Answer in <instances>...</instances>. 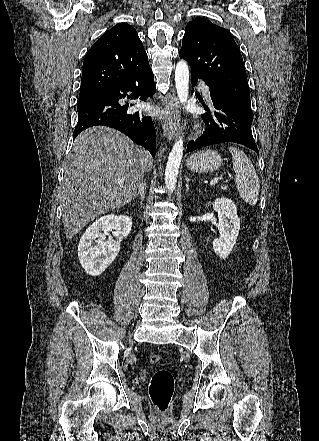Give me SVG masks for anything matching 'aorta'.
Listing matches in <instances>:
<instances>
[{
  "label": "aorta",
  "mask_w": 319,
  "mask_h": 441,
  "mask_svg": "<svg viewBox=\"0 0 319 441\" xmlns=\"http://www.w3.org/2000/svg\"><path fill=\"white\" fill-rule=\"evenodd\" d=\"M176 90L181 103H186L189 94V66L184 60H180L175 68ZM183 156L182 136L175 142L166 165L165 185L169 192L175 190L181 159Z\"/></svg>",
  "instance_id": "1"
}]
</instances>
